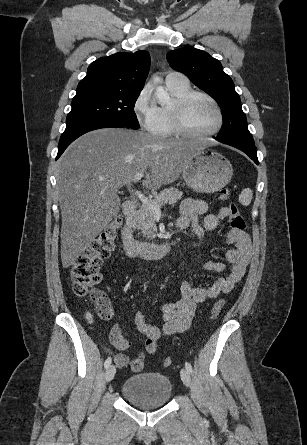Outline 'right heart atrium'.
<instances>
[{
  "label": "right heart atrium",
  "instance_id": "right-heart-atrium-1",
  "mask_svg": "<svg viewBox=\"0 0 307 445\" xmlns=\"http://www.w3.org/2000/svg\"><path fill=\"white\" fill-rule=\"evenodd\" d=\"M133 115L140 127L147 132H155L159 125V112L155 97L149 87H144L132 106Z\"/></svg>",
  "mask_w": 307,
  "mask_h": 445
}]
</instances>
